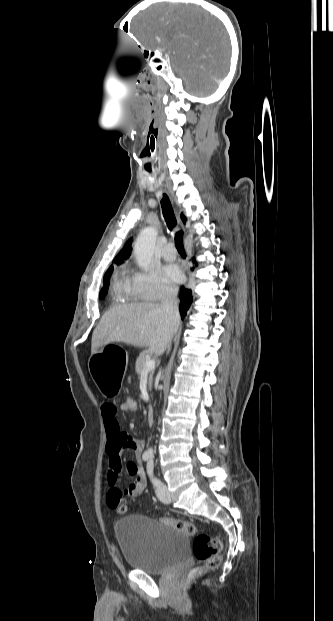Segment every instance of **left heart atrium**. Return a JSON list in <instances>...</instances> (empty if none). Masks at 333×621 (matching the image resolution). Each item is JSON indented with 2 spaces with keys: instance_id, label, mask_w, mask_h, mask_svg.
<instances>
[{
  "instance_id": "1",
  "label": "left heart atrium",
  "mask_w": 333,
  "mask_h": 621,
  "mask_svg": "<svg viewBox=\"0 0 333 621\" xmlns=\"http://www.w3.org/2000/svg\"><path fill=\"white\" fill-rule=\"evenodd\" d=\"M165 279L171 283H179L183 279V275L179 267L175 264H168L163 268Z\"/></svg>"
}]
</instances>
